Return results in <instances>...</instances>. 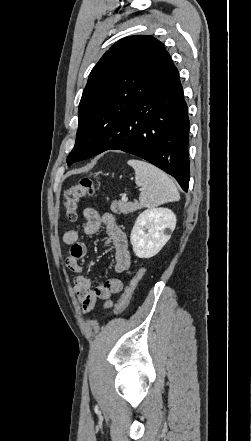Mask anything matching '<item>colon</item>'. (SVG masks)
I'll list each match as a JSON object with an SVG mask.
<instances>
[{
  "instance_id": "obj_1",
  "label": "colon",
  "mask_w": 251,
  "mask_h": 441,
  "mask_svg": "<svg viewBox=\"0 0 251 441\" xmlns=\"http://www.w3.org/2000/svg\"><path fill=\"white\" fill-rule=\"evenodd\" d=\"M96 193V187L93 181L89 178H83L80 182L70 188L64 193V212L69 221H74L77 218V211L80 201L86 197ZM143 276V271H140L134 278H132L117 302L114 315L119 316L128 306L130 298L135 287Z\"/></svg>"
}]
</instances>
